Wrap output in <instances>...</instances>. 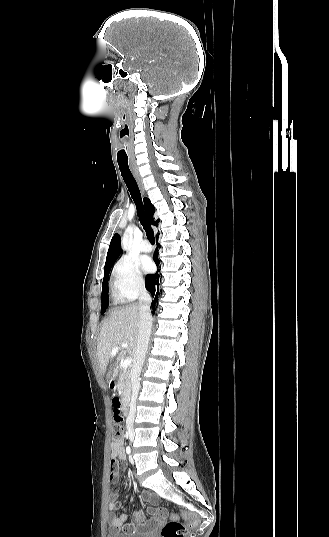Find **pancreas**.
<instances>
[{
  "mask_svg": "<svg viewBox=\"0 0 329 537\" xmlns=\"http://www.w3.org/2000/svg\"><path fill=\"white\" fill-rule=\"evenodd\" d=\"M117 389L119 393H121V396L124 401L128 402L131 394V383L129 372L127 370H123L120 373Z\"/></svg>",
  "mask_w": 329,
  "mask_h": 537,
  "instance_id": "cf45deb5",
  "label": "pancreas"
}]
</instances>
